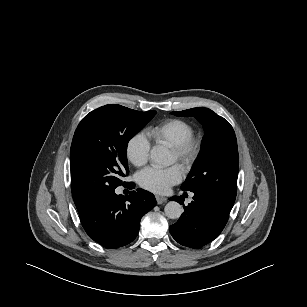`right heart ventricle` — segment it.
Wrapping results in <instances>:
<instances>
[{
    "label": "right heart ventricle",
    "mask_w": 307,
    "mask_h": 307,
    "mask_svg": "<svg viewBox=\"0 0 307 307\" xmlns=\"http://www.w3.org/2000/svg\"><path fill=\"white\" fill-rule=\"evenodd\" d=\"M193 126L181 119H169L150 128L147 135L156 145L173 148L193 137Z\"/></svg>",
    "instance_id": "1"
}]
</instances>
